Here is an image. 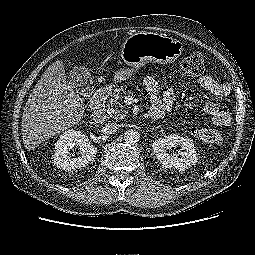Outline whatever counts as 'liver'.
Returning <instances> with one entry per match:
<instances>
[{
  "label": "liver",
  "mask_w": 255,
  "mask_h": 255,
  "mask_svg": "<svg viewBox=\"0 0 255 255\" xmlns=\"http://www.w3.org/2000/svg\"><path fill=\"white\" fill-rule=\"evenodd\" d=\"M67 78L63 61L57 60L48 66L30 94L21 125L28 151L77 125L85 116L84 101Z\"/></svg>",
  "instance_id": "obj_1"
}]
</instances>
